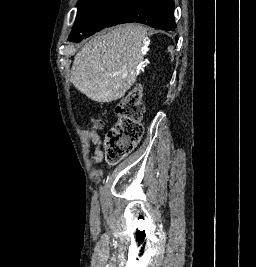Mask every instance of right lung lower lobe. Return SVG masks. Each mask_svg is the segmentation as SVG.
I'll use <instances>...</instances> for the list:
<instances>
[{
    "instance_id": "98d812e1",
    "label": "right lung lower lobe",
    "mask_w": 256,
    "mask_h": 267,
    "mask_svg": "<svg viewBox=\"0 0 256 267\" xmlns=\"http://www.w3.org/2000/svg\"><path fill=\"white\" fill-rule=\"evenodd\" d=\"M130 22L143 23L156 29L174 31L176 28L174 1L140 0L111 26Z\"/></svg>"
}]
</instances>
